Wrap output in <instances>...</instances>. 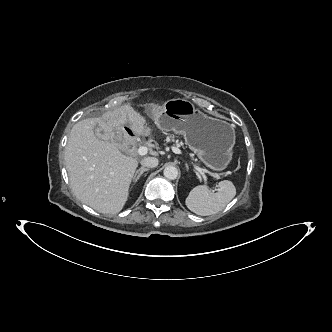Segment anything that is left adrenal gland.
<instances>
[{
    "mask_svg": "<svg viewBox=\"0 0 332 332\" xmlns=\"http://www.w3.org/2000/svg\"><path fill=\"white\" fill-rule=\"evenodd\" d=\"M186 169L188 170L189 169V167H188V165L186 164Z\"/></svg>",
    "mask_w": 332,
    "mask_h": 332,
    "instance_id": "obj_1",
    "label": "left adrenal gland"
}]
</instances>
